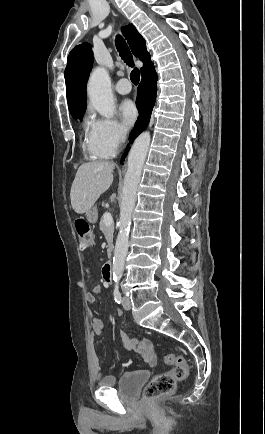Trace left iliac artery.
Wrapping results in <instances>:
<instances>
[{
  "mask_svg": "<svg viewBox=\"0 0 265 434\" xmlns=\"http://www.w3.org/2000/svg\"><path fill=\"white\" fill-rule=\"evenodd\" d=\"M113 295H114V300H115L118 304H120L122 298H121V293H120V291H119L118 283L115 284V289H114V293H113Z\"/></svg>",
  "mask_w": 265,
  "mask_h": 434,
  "instance_id": "1",
  "label": "left iliac artery"
}]
</instances>
